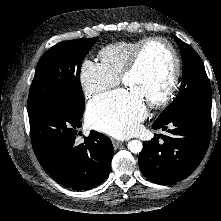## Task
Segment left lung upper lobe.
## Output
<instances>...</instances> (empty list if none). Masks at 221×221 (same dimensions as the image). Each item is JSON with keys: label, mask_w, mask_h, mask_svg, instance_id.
Masks as SVG:
<instances>
[{"label": "left lung upper lobe", "mask_w": 221, "mask_h": 221, "mask_svg": "<svg viewBox=\"0 0 221 221\" xmlns=\"http://www.w3.org/2000/svg\"><path fill=\"white\" fill-rule=\"evenodd\" d=\"M183 60L182 83L174 101L164 109L158 121H164L191 108L211 109L212 91L204 65L188 44L173 35Z\"/></svg>", "instance_id": "1"}]
</instances>
